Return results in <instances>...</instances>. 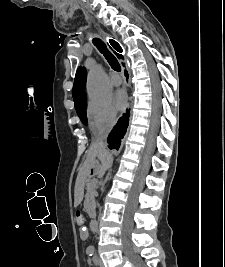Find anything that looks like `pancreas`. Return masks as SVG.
Wrapping results in <instances>:
<instances>
[{"instance_id": "1", "label": "pancreas", "mask_w": 225, "mask_h": 267, "mask_svg": "<svg viewBox=\"0 0 225 267\" xmlns=\"http://www.w3.org/2000/svg\"><path fill=\"white\" fill-rule=\"evenodd\" d=\"M86 196L84 201V208L90 217L94 216L95 203H94V187L90 185L86 189Z\"/></svg>"}]
</instances>
